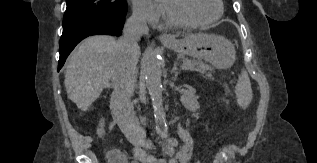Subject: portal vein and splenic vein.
<instances>
[{
    "mask_svg": "<svg viewBox=\"0 0 317 163\" xmlns=\"http://www.w3.org/2000/svg\"><path fill=\"white\" fill-rule=\"evenodd\" d=\"M182 68L185 69V70L187 69L186 67H183V66H182Z\"/></svg>",
    "mask_w": 317,
    "mask_h": 163,
    "instance_id": "portal-vein-and-splenic-vein-1",
    "label": "portal vein and splenic vein"
}]
</instances>
